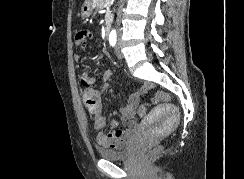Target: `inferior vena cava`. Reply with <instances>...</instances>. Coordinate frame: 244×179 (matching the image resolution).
Here are the masks:
<instances>
[{
    "instance_id": "obj_1",
    "label": "inferior vena cava",
    "mask_w": 244,
    "mask_h": 179,
    "mask_svg": "<svg viewBox=\"0 0 244 179\" xmlns=\"http://www.w3.org/2000/svg\"><path fill=\"white\" fill-rule=\"evenodd\" d=\"M118 16H120V12H119ZM117 24H118V26H119V20H117Z\"/></svg>"
}]
</instances>
